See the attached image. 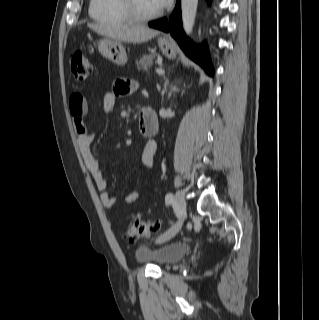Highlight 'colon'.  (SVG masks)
Instances as JSON below:
<instances>
[{
    "label": "colon",
    "instance_id": "5ec220e1",
    "mask_svg": "<svg viewBox=\"0 0 319 320\" xmlns=\"http://www.w3.org/2000/svg\"><path fill=\"white\" fill-rule=\"evenodd\" d=\"M69 65L72 74L79 81L86 80L92 72L91 58L81 50L72 51ZM159 227L157 220L144 221L135 218L125 229L124 237L129 240H135L143 236L149 237L157 233Z\"/></svg>",
    "mask_w": 319,
    "mask_h": 320
}]
</instances>
